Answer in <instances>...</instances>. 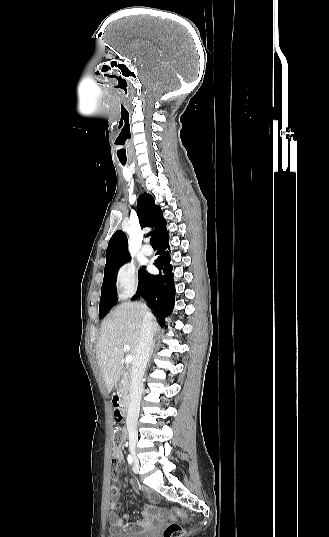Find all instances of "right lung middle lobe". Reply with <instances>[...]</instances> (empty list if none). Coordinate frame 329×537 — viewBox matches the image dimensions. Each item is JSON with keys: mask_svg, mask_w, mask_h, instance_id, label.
<instances>
[{"mask_svg": "<svg viewBox=\"0 0 329 537\" xmlns=\"http://www.w3.org/2000/svg\"><path fill=\"white\" fill-rule=\"evenodd\" d=\"M128 260V259H127ZM127 260L111 264L105 267L104 280L101 288V297L99 305V317H104L108 310L117 302V290L114 286V278L118 269L127 262ZM142 269L139 270V279Z\"/></svg>", "mask_w": 329, "mask_h": 537, "instance_id": "dd1d6c3e", "label": "right lung middle lobe"}]
</instances>
